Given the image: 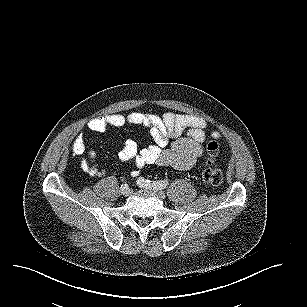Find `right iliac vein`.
<instances>
[{"mask_svg":"<svg viewBox=\"0 0 307 307\" xmlns=\"http://www.w3.org/2000/svg\"><path fill=\"white\" fill-rule=\"evenodd\" d=\"M131 190L129 187H121V193L124 196H128L130 194Z\"/></svg>","mask_w":307,"mask_h":307,"instance_id":"63e3f726","label":"right iliac vein"}]
</instances>
